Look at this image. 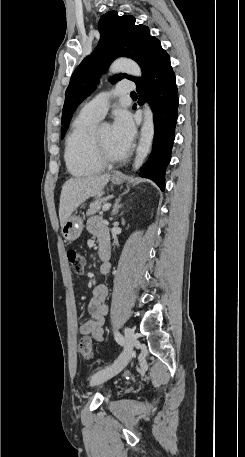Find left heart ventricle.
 <instances>
[{
	"label": "left heart ventricle",
	"mask_w": 245,
	"mask_h": 457,
	"mask_svg": "<svg viewBox=\"0 0 245 457\" xmlns=\"http://www.w3.org/2000/svg\"><path fill=\"white\" fill-rule=\"evenodd\" d=\"M96 146L100 155L118 156L126 152L114 141L110 128L96 130Z\"/></svg>",
	"instance_id": "obj_1"
}]
</instances>
